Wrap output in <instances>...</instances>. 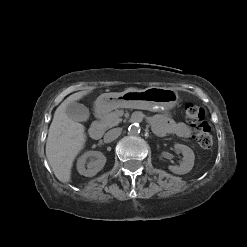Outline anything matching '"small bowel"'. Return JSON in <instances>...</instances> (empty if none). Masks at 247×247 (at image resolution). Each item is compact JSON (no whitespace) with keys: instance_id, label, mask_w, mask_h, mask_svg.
I'll return each instance as SVG.
<instances>
[{"instance_id":"1","label":"small bowel","mask_w":247,"mask_h":247,"mask_svg":"<svg viewBox=\"0 0 247 247\" xmlns=\"http://www.w3.org/2000/svg\"><path fill=\"white\" fill-rule=\"evenodd\" d=\"M151 123L154 132L158 136H165L168 134H174L180 137H189L191 135V129L183 122L175 121L168 114H156L151 118Z\"/></svg>"}]
</instances>
